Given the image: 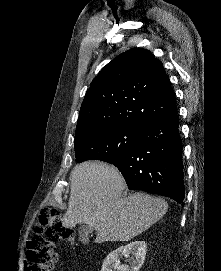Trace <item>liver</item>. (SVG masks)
<instances>
[{"label":"liver","instance_id":"obj_1","mask_svg":"<svg viewBox=\"0 0 221 271\" xmlns=\"http://www.w3.org/2000/svg\"><path fill=\"white\" fill-rule=\"evenodd\" d=\"M69 207L63 227L86 223L96 229L95 243L130 241L168 209L162 197L132 193L122 197L126 183L114 165L103 161H83L71 171Z\"/></svg>","mask_w":221,"mask_h":271}]
</instances>
